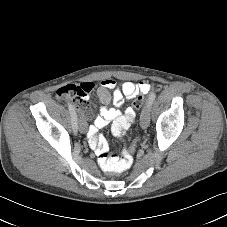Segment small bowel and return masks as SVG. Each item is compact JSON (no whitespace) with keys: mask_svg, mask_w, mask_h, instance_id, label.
<instances>
[{"mask_svg":"<svg viewBox=\"0 0 227 227\" xmlns=\"http://www.w3.org/2000/svg\"><path fill=\"white\" fill-rule=\"evenodd\" d=\"M77 87L82 93L80 96L72 99L74 107L79 112L81 123L86 128L89 145L97 156L102 153H108L109 150L106 139L102 135H98V130L112 122L113 134L115 136L122 135V133L134 123L136 114L133 108H128L125 113H122L119 108L123 105L125 99H132L139 94H146L150 90V84L147 82L134 83L125 81L121 86H117L114 79H103L97 90L99 100L103 104H108L112 101L115 108L101 106L99 108V114L95 117L93 124L87 129L85 104L93 89V83L84 82L77 85ZM114 158L117 159L116 157Z\"/></svg>","mask_w":227,"mask_h":227,"instance_id":"obj_1","label":"small bowel"}]
</instances>
